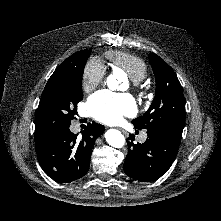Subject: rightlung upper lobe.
I'll return each mask as SVG.
<instances>
[{
  "label": "right lung upper lobe",
  "instance_id": "obj_1",
  "mask_svg": "<svg viewBox=\"0 0 221 221\" xmlns=\"http://www.w3.org/2000/svg\"><path fill=\"white\" fill-rule=\"evenodd\" d=\"M85 52L86 50H82V51H78L72 54L64 62H62L60 66L57 67V69L54 71L52 75H57L59 73H62L68 70L70 67H72L75 64L77 59ZM41 138H42V134L35 131V147L40 145Z\"/></svg>",
  "mask_w": 221,
  "mask_h": 221
}]
</instances>
